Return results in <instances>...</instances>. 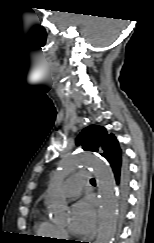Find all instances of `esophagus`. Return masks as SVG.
Masks as SVG:
<instances>
[{
    "label": "esophagus",
    "instance_id": "1",
    "mask_svg": "<svg viewBox=\"0 0 154 243\" xmlns=\"http://www.w3.org/2000/svg\"><path fill=\"white\" fill-rule=\"evenodd\" d=\"M99 226H100V220H99V225H98V228H97L96 232L90 237L88 243H91V241H93V239L95 238V236H96V234L98 232Z\"/></svg>",
    "mask_w": 154,
    "mask_h": 243
}]
</instances>
